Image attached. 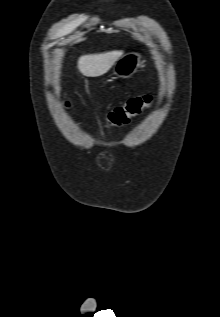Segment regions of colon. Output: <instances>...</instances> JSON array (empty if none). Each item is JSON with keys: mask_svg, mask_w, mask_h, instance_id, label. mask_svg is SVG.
Instances as JSON below:
<instances>
[{"mask_svg": "<svg viewBox=\"0 0 220 317\" xmlns=\"http://www.w3.org/2000/svg\"><path fill=\"white\" fill-rule=\"evenodd\" d=\"M152 102L150 95L136 96L130 98L124 104L112 109L106 117V126L121 127L127 125L132 118L138 116L145 110ZM66 109L71 108L68 101L64 102Z\"/></svg>", "mask_w": 220, "mask_h": 317, "instance_id": "obj_1", "label": "colon"}]
</instances>
